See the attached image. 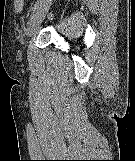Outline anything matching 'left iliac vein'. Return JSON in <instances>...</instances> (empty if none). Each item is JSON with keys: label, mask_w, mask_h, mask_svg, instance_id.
Listing matches in <instances>:
<instances>
[{"label": "left iliac vein", "mask_w": 135, "mask_h": 161, "mask_svg": "<svg viewBox=\"0 0 135 161\" xmlns=\"http://www.w3.org/2000/svg\"><path fill=\"white\" fill-rule=\"evenodd\" d=\"M51 1L53 0H43L42 4L36 9L34 14L30 17L26 29V35L28 37L33 36L39 29L40 24L42 23L43 19L45 18L49 10Z\"/></svg>", "instance_id": "obj_1"}]
</instances>
